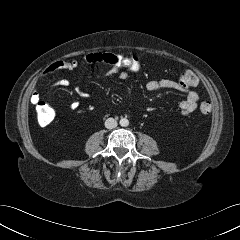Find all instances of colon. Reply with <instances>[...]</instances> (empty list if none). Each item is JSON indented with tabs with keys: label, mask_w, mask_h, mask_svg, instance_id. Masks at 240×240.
Returning <instances> with one entry per match:
<instances>
[{
	"label": "colon",
	"mask_w": 240,
	"mask_h": 240,
	"mask_svg": "<svg viewBox=\"0 0 240 240\" xmlns=\"http://www.w3.org/2000/svg\"><path fill=\"white\" fill-rule=\"evenodd\" d=\"M87 62H94L110 66L115 71H123L127 74L137 73L141 70L142 63L137 56H126L110 52H97L94 55L85 56ZM198 83L197 75L191 71H184L179 77V84L183 88L191 89ZM37 120L41 126L49 125L55 118V111L46 103L39 101L36 103ZM199 111L208 115L211 111L209 102L204 101L199 105Z\"/></svg>",
	"instance_id": "5ec220e1"
}]
</instances>
